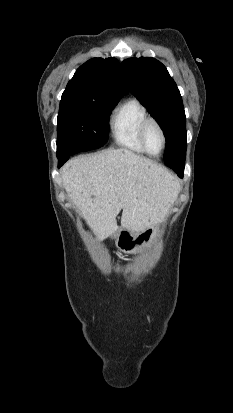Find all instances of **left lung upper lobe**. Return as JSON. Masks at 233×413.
Returning a JSON list of instances; mask_svg holds the SVG:
<instances>
[{
	"label": "left lung upper lobe",
	"mask_w": 233,
	"mask_h": 413,
	"mask_svg": "<svg viewBox=\"0 0 233 413\" xmlns=\"http://www.w3.org/2000/svg\"><path fill=\"white\" fill-rule=\"evenodd\" d=\"M130 91L157 119L167 140L165 164L174 170L185 164L186 117L182 97L166 67L150 57L123 61Z\"/></svg>",
	"instance_id": "left-lung-upper-lobe-1"
}]
</instances>
